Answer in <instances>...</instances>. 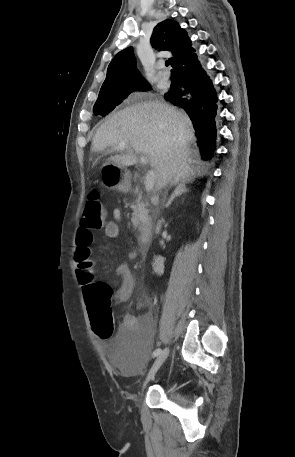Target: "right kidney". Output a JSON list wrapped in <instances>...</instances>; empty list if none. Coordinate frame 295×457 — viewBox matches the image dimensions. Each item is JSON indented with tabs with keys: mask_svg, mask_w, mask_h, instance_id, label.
Instances as JSON below:
<instances>
[{
	"mask_svg": "<svg viewBox=\"0 0 295 457\" xmlns=\"http://www.w3.org/2000/svg\"><path fill=\"white\" fill-rule=\"evenodd\" d=\"M153 270L155 273L162 275L164 273V258L161 256L155 257L153 263Z\"/></svg>",
	"mask_w": 295,
	"mask_h": 457,
	"instance_id": "right-kidney-1",
	"label": "right kidney"
}]
</instances>
